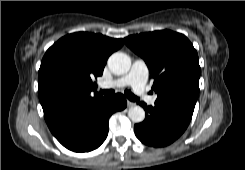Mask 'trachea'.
<instances>
[{"label": "trachea", "mask_w": 245, "mask_h": 170, "mask_svg": "<svg viewBox=\"0 0 245 170\" xmlns=\"http://www.w3.org/2000/svg\"><path fill=\"white\" fill-rule=\"evenodd\" d=\"M101 93H103L105 96H111L115 93V91L113 89L110 90H100ZM126 97L130 100V101H137L139 98L137 96H135L131 91L129 90H125L124 91Z\"/></svg>", "instance_id": "3493384b"}]
</instances>
